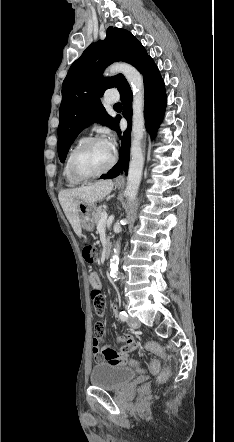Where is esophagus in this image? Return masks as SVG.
I'll return each instance as SVG.
<instances>
[{
  "label": "esophagus",
  "instance_id": "esophagus-1",
  "mask_svg": "<svg viewBox=\"0 0 234 442\" xmlns=\"http://www.w3.org/2000/svg\"><path fill=\"white\" fill-rule=\"evenodd\" d=\"M115 181L116 182H122V181H124V177L122 175H119V176L116 177Z\"/></svg>",
  "mask_w": 234,
  "mask_h": 442
}]
</instances>
